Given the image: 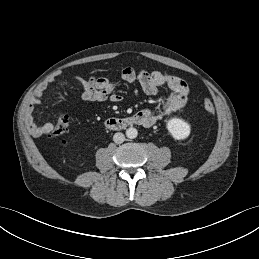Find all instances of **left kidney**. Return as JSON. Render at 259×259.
I'll return each instance as SVG.
<instances>
[{
	"instance_id": "1",
	"label": "left kidney",
	"mask_w": 259,
	"mask_h": 259,
	"mask_svg": "<svg viewBox=\"0 0 259 259\" xmlns=\"http://www.w3.org/2000/svg\"><path fill=\"white\" fill-rule=\"evenodd\" d=\"M167 130L175 140H185L190 135L191 127L182 119L172 118L167 123Z\"/></svg>"
}]
</instances>
